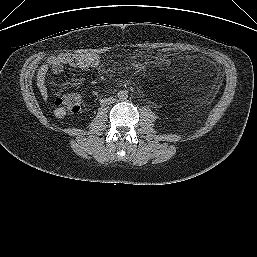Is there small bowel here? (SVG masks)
Returning <instances> with one entry per match:
<instances>
[{"label": "small bowel", "instance_id": "1", "mask_svg": "<svg viewBox=\"0 0 257 257\" xmlns=\"http://www.w3.org/2000/svg\"><path fill=\"white\" fill-rule=\"evenodd\" d=\"M100 64V58L96 54H81L70 56L66 54L51 56L46 59L37 69L36 84L41 96L47 100L48 90L46 87V76L49 71L53 75H59L63 72L65 65H70L79 69L96 68ZM58 118L63 117L66 112L64 110L56 109L54 112Z\"/></svg>", "mask_w": 257, "mask_h": 257}]
</instances>
